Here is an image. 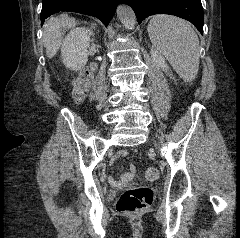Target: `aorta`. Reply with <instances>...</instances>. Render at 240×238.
<instances>
[{"label": "aorta", "mask_w": 240, "mask_h": 238, "mask_svg": "<svg viewBox=\"0 0 240 238\" xmlns=\"http://www.w3.org/2000/svg\"><path fill=\"white\" fill-rule=\"evenodd\" d=\"M116 13L117 17L126 28L132 29L135 26L136 16L130 7L126 5H119L117 7Z\"/></svg>", "instance_id": "obj_1"}]
</instances>
